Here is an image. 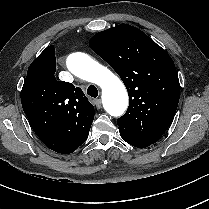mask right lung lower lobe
Wrapping results in <instances>:
<instances>
[{"instance_id":"right-lung-lower-lobe-1","label":"right lung lower lobe","mask_w":209,"mask_h":209,"mask_svg":"<svg viewBox=\"0 0 209 209\" xmlns=\"http://www.w3.org/2000/svg\"><path fill=\"white\" fill-rule=\"evenodd\" d=\"M30 124L36 135L51 150L62 154H68L75 151L74 149L70 148L69 146H66L65 144H60L54 141V138L51 137V135L54 133L53 129L36 126L32 123Z\"/></svg>"}]
</instances>
